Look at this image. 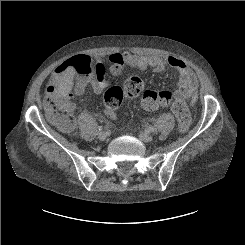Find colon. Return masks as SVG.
Returning a JSON list of instances; mask_svg holds the SVG:
<instances>
[{"mask_svg":"<svg viewBox=\"0 0 245 245\" xmlns=\"http://www.w3.org/2000/svg\"><path fill=\"white\" fill-rule=\"evenodd\" d=\"M65 69L84 78L104 79L105 68L100 61L86 55L73 56L65 65ZM144 88V82L139 76L130 77L123 87H110L104 94L105 112L109 117L115 114L125 98L137 97ZM142 106L146 110L170 107L177 118L178 130L184 133L191 123L189 107L184 98L172 91H145L142 96ZM44 103L48 119L60 130L68 132L74 127L72 118V101L69 95L63 94L59 88L44 95Z\"/></svg>","mask_w":245,"mask_h":245,"instance_id":"5ec220e1","label":"colon"}]
</instances>
